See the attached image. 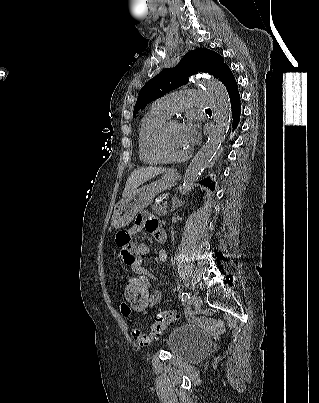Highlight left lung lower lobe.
<instances>
[{"label":"left lung lower lobe","instance_id":"obj_1","mask_svg":"<svg viewBox=\"0 0 319 403\" xmlns=\"http://www.w3.org/2000/svg\"><path fill=\"white\" fill-rule=\"evenodd\" d=\"M219 80L226 86V89L230 97L232 107V117H233V128L235 129L238 125L241 113L240 95L238 92L237 83L229 67H227L223 71ZM202 183L209 186L210 188L213 187V184L210 183L209 179H206Z\"/></svg>","mask_w":319,"mask_h":403}]
</instances>
